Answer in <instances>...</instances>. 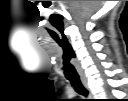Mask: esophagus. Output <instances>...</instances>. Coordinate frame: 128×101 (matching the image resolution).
<instances>
[{"label":"esophagus","mask_w":128,"mask_h":101,"mask_svg":"<svg viewBox=\"0 0 128 101\" xmlns=\"http://www.w3.org/2000/svg\"><path fill=\"white\" fill-rule=\"evenodd\" d=\"M81 82L83 86L86 88V90L89 92V97H92L89 86H88V80L85 77H81Z\"/></svg>","instance_id":"1"}]
</instances>
